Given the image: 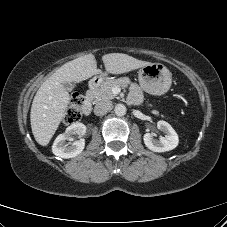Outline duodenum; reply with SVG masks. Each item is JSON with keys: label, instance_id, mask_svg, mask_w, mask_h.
<instances>
[{"label": "duodenum", "instance_id": "1", "mask_svg": "<svg viewBox=\"0 0 227 227\" xmlns=\"http://www.w3.org/2000/svg\"><path fill=\"white\" fill-rule=\"evenodd\" d=\"M104 80L103 75H98L94 77L90 84H89V89H88V94L84 100L83 106H82V111L84 115H90L92 112V93L93 91L102 83Z\"/></svg>", "mask_w": 227, "mask_h": 227}]
</instances>
